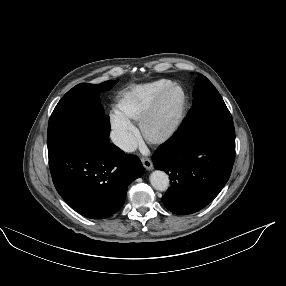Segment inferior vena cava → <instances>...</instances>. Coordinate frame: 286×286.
<instances>
[{
	"mask_svg": "<svg viewBox=\"0 0 286 286\" xmlns=\"http://www.w3.org/2000/svg\"><path fill=\"white\" fill-rule=\"evenodd\" d=\"M112 142L124 151L130 152L135 149V142L132 135L124 131H113L111 133Z\"/></svg>",
	"mask_w": 286,
	"mask_h": 286,
	"instance_id": "inferior-vena-cava-1",
	"label": "inferior vena cava"
}]
</instances>
